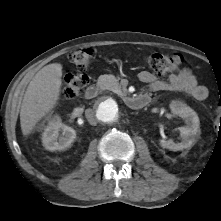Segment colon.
<instances>
[{"mask_svg":"<svg viewBox=\"0 0 221 221\" xmlns=\"http://www.w3.org/2000/svg\"><path fill=\"white\" fill-rule=\"evenodd\" d=\"M93 57L94 50L92 48H83L71 54V61L79 70L83 71L89 67ZM146 62L155 75L163 76L177 71L183 63V57L180 54L153 53L147 56ZM88 82V77L84 74L67 75L64 79V95L68 98L80 95ZM216 110L221 121V96Z\"/></svg>","mask_w":221,"mask_h":221,"instance_id":"5ec220e1","label":"colon"}]
</instances>
